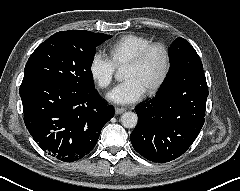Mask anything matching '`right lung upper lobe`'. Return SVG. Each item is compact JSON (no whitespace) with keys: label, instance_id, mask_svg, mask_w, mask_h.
Returning a JSON list of instances; mask_svg holds the SVG:
<instances>
[{"label":"right lung upper lobe","instance_id":"1","mask_svg":"<svg viewBox=\"0 0 240 191\" xmlns=\"http://www.w3.org/2000/svg\"><path fill=\"white\" fill-rule=\"evenodd\" d=\"M73 31H82V30H73Z\"/></svg>","mask_w":240,"mask_h":191}]
</instances>
